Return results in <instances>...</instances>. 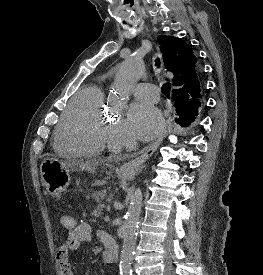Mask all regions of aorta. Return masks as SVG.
<instances>
[{"mask_svg":"<svg viewBox=\"0 0 263 275\" xmlns=\"http://www.w3.org/2000/svg\"><path fill=\"white\" fill-rule=\"evenodd\" d=\"M144 73L142 62L131 57L122 62L117 69L113 83V98L125 100L129 97L132 87ZM143 195L140 188L136 189L131 199V204L126 213L123 245L120 255V274L131 275V264L136 246L137 229L140 220Z\"/></svg>","mask_w":263,"mask_h":275,"instance_id":"762f6f07","label":"aorta"}]
</instances>
